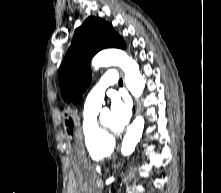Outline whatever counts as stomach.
<instances>
[{
	"mask_svg": "<svg viewBox=\"0 0 221 193\" xmlns=\"http://www.w3.org/2000/svg\"><path fill=\"white\" fill-rule=\"evenodd\" d=\"M64 117L62 118L63 134L67 141V152L73 155L70 160L71 167H75L78 177L76 193H96L94 179L96 177V164L86 162V147H84V133H82L80 117L77 110L71 109V104H64Z\"/></svg>",
	"mask_w": 221,
	"mask_h": 193,
	"instance_id": "stomach-1",
	"label": "stomach"
}]
</instances>
